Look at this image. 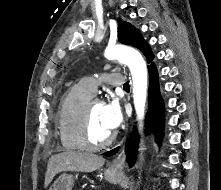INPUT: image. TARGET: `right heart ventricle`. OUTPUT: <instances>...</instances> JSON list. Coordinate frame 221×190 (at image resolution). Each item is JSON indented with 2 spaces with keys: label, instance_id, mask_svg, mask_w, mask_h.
<instances>
[{
  "label": "right heart ventricle",
  "instance_id": "1",
  "mask_svg": "<svg viewBox=\"0 0 221 190\" xmlns=\"http://www.w3.org/2000/svg\"><path fill=\"white\" fill-rule=\"evenodd\" d=\"M92 97L79 83L71 87L62 99L57 113V130L64 150L85 149L79 134L80 118L84 104Z\"/></svg>",
  "mask_w": 221,
  "mask_h": 190
}]
</instances>
